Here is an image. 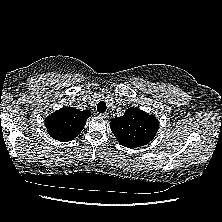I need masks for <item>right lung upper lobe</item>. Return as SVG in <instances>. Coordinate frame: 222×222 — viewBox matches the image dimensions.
<instances>
[{"label":"right lung upper lobe","instance_id":"1","mask_svg":"<svg viewBox=\"0 0 222 222\" xmlns=\"http://www.w3.org/2000/svg\"><path fill=\"white\" fill-rule=\"evenodd\" d=\"M91 113L73 107H63L45 119L49 135L60 142H67L77 137L83 130Z\"/></svg>","mask_w":222,"mask_h":222}]
</instances>
